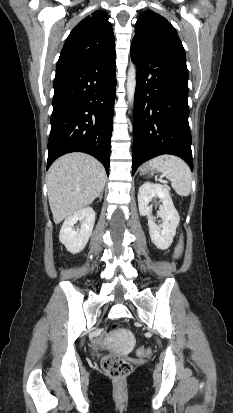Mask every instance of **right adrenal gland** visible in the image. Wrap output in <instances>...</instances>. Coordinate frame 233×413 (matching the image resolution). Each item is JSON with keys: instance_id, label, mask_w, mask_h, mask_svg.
Wrapping results in <instances>:
<instances>
[{"instance_id": "obj_1", "label": "right adrenal gland", "mask_w": 233, "mask_h": 413, "mask_svg": "<svg viewBox=\"0 0 233 413\" xmlns=\"http://www.w3.org/2000/svg\"><path fill=\"white\" fill-rule=\"evenodd\" d=\"M102 195H103V192H101V193L99 194V200H100V201L102 200Z\"/></svg>"}]
</instances>
